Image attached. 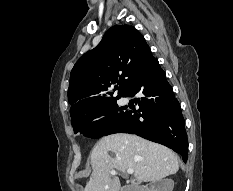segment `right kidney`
<instances>
[{"label":"right kidney","mask_w":233,"mask_h":191,"mask_svg":"<svg viewBox=\"0 0 233 191\" xmlns=\"http://www.w3.org/2000/svg\"><path fill=\"white\" fill-rule=\"evenodd\" d=\"M174 187V181L172 179L160 180L156 186H153L151 191H172Z\"/></svg>","instance_id":"1"}]
</instances>
